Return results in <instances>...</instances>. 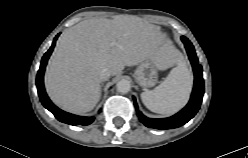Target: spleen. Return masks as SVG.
<instances>
[{"mask_svg": "<svg viewBox=\"0 0 248 158\" xmlns=\"http://www.w3.org/2000/svg\"><path fill=\"white\" fill-rule=\"evenodd\" d=\"M173 68L165 80L154 90L141 93L144 105L152 112L170 115L188 102L193 84L191 71L181 57L175 59Z\"/></svg>", "mask_w": 248, "mask_h": 158, "instance_id": "spleen-1", "label": "spleen"}]
</instances>
